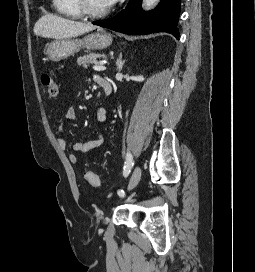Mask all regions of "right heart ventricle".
Returning a JSON list of instances; mask_svg holds the SVG:
<instances>
[{
    "instance_id": "1",
    "label": "right heart ventricle",
    "mask_w": 255,
    "mask_h": 272,
    "mask_svg": "<svg viewBox=\"0 0 255 272\" xmlns=\"http://www.w3.org/2000/svg\"><path fill=\"white\" fill-rule=\"evenodd\" d=\"M54 11L70 18H80L82 13L76 0H52Z\"/></svg>"
}]
</instances>
